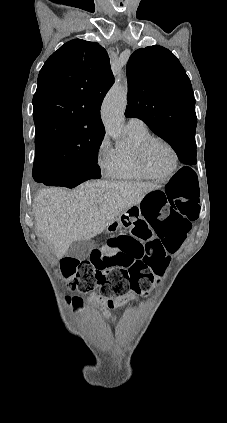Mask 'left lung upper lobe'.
<instances>
[{
  "label": "left lung upper lobe",
  "instance_id": "left-lung-upper-lobe-1",
  "mask_svg": "<svg viewBox=\"0 0 227 423\" xmlns=\"http://www.w3.org/2000/svg\"><path fill=\"white\" fill-rule=\"evenodd\" d=\"M126 71V117L143 120L170 145L180 138H195L191 82L171 51L159 45L138 49L130 56Z\"/></svg>",
  "mask_w": 227,
  "mask_h": 423
}]
</instances>
